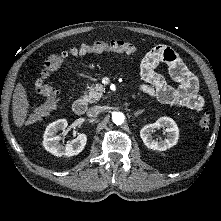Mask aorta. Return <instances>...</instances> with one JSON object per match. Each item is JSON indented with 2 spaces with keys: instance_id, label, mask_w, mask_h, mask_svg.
I'll use <instances>...</instances> for the list:
<instances>
[{
  "instance_id": "aorta-1",
  "label": "aorta",
  "mask_w": 221,
  "mask_h": 221,
  "mask_svg": "<svg viewBox=\"0 0 221 221\" xmlns=\"http://www.w3.org/2000/svg\"><path fill=\"white\" fill-rule=\"evenodd\" d=\"M124 120H125V116L122 112H114L112 114V121L116 125H122L124 123Z\"/></svg>"
}]
</instances>
